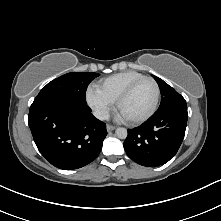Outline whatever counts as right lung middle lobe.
<instances>
[{
	"label": "right lung middle lobe",
	"instance_id": "right-lung-middle-lobe-1",
	"mask_svg": "<svg viewBox=\"0 0 221 221\" xmlns=\"http://www.w3.org/2000/svg\"><path fill=\"white\" fill-rule=\"evenodd\" d=\"M99 75L92 72H74L62 75L42 88L30 108L57 100H74L84 103L86 102L87 86Z\"/></svg>",
	"mask_w": 221,
	"mask_h": 221
}]
</instances>
